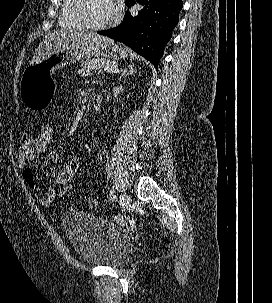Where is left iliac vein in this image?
I'll list each match as a JSON object with an SVG mask.
<instances>
[{
  "instance_id": "left-iliac-vein-1",
  "label": "left iliac vein",
  "mask_w": 272,
  "mask_h": 303,
  "mask_svg": "<svg viewBox=\"0 0 272 303\" xmlns=\"http://www.w3.org/2000/svg\"><path fill=\"white\" fill-rule=\"evenodd\" d=\"M121 204H122L123 208L129 207L130 204H131V198H130V196L127 195V194H125V193L122 194L121 195Z\"/></svg>"
}]
</instances>
